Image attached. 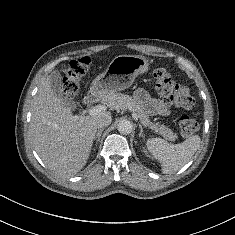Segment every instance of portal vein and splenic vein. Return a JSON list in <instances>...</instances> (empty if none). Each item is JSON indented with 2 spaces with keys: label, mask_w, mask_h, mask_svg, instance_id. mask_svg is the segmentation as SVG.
<instances>
[{
  "label": "portal vein and splenic vein",
  "mask_w": 235,
  "mask_h": 235,
  "mask_svg": "<svg viewBox=\"0 0 235 235\" xmlns=\"http://www.w3.org/2000/svg\"><path fill=\"white\" fill-rule=\"evenodd\" d=\"M105 110H106V106L105 105H97V106H94L91 109H89L88 113L91 116H95V115L103 113ZM132 111H133L132 112V117L135 120H137L138 116H137L136 112L134 110H132Z\"/></svg>",
  "instance_id": "obj_1"
}]
</instances>
